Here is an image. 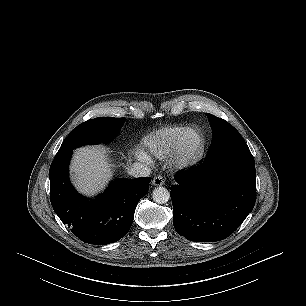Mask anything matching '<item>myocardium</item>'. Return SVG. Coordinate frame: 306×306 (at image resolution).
I'll list each match as a JSON object with an SVG mask.
<instances>
[{
	"label": "myocardium",
	"instance_id": "obj_1",
	"mask_svg": "<svg viewBox=\"0 0 306 306\" xmlns=\"http://www.w3.org/2000/svg\"><path fill=\"white\" fill-rule=\"evenodd\" d=\"M198 134V143L194 147H188L186 140L190 133ZM206 147V138L203 131L196 126L186 128L178 139L174 150V166L179 170H186L196 165L202 158Z\"/></svg>",
	"mask_w": 306,
	"mask_h": 306
}]
</instances>
